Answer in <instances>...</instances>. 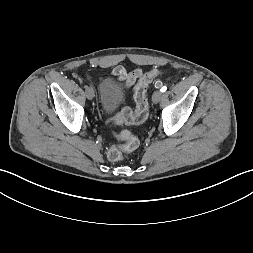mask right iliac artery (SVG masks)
Listing matches in <instances>:
<instances>
[{
	"mask_svg": "<svg viewBox=\"0 0 253 253\" xmlns=\"http://www.w3.org/2000/svg\"><path fill=\"white\" fill-rule=\"evenodd\" d=\"M84 88H85V89H87V88H88V86H87V85H85V86H84Z\"/></svg>",
	"mask_w": 253,
	"mask_h": 253,
	"instance_id": "82829eb1",
	"label": "right iliac artery"
}]
</instances>
